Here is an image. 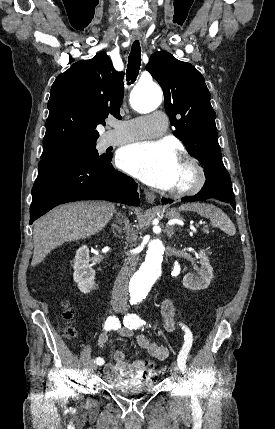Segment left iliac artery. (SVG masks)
Wrapping results in <instances>:
<instances>
[{"label":"left iliac artery","mask_w":275,"mask_h":429,"mask_svg":"<svg viewBox=\"0 0 275 429\" xmlns=\"http://www.w3.org/2000/svg\"><path fill=\"white\" fill-rule=\"evenodd\" d=\"M145 321H143L138 315L136 314H128L127 316L124 317V326L129 328V329H137L140 328L141 326L145 325ZM182 326V329L185 331V335H184V345L181 349V351L179 352L178 358H177V363H178V367L181 370L182 373L186 372V359L188 356V353L191 349L192 346V341H193V336H192V332L190 331V329L183 325L180 324ZM192 401H193V405L197 406L198 405V400L196 398L195 395L192 394Z\"/></svg>","instance_id":"1"}]
</instances>
